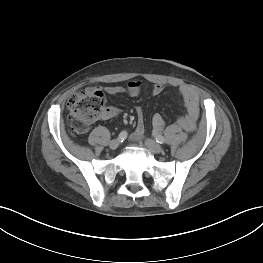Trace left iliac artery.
Here are the masks:
<instances>
[{
  "label": "left iliac artery",
  "instance_id": "44dca946",
  "mask_svg": "<svg viewBox=\"0 0 263 263\" xmlns=\"http://www.w3.org/2000/svg\"><path fill=\"white\" fill-rule=\"evenodd\" d=\"M155 139H156V142H158L160 144H164L165 143V138L162 135L155 134Z\"/></svg>",
  "mask_w": 263,
  "mask_h": 263
}]
</instances>
